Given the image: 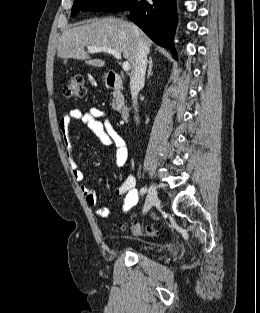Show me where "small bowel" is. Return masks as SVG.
<instances>
[{
  "label": "small bowel",
  "instance_id": "small-bowel-1",
  "mask_svg": "<svg viewBox=\"0 0 260 313\" xmlns=\"http://www.w3.org/2000/svg\"><path fill=\"white\" fill-rule=\"evenodd\" d=\"M80 120L86 124L97 136L105 143L114 144L116 147L115 166L122 167L128 157V148L124 138L117 131L104 111L91 108L87 112L80 109H71L61 120L60 130L66 146V156L69 162L73 179L79 183L84 180V173L73 156L71 148L70 131L73 121ZM136 184L135 177L132 174L126 176L122 184L115 189V194L124 196L123 212L127 214L138 203L137 191L134 189ZM86 203L94 209L95 214L100 218L109 215L108 207H99L97 196L86 184L79 186Z\"/></svg>",
  "mask_w": 260,
  "mask_h": 313
}]
</instances>
